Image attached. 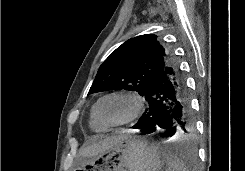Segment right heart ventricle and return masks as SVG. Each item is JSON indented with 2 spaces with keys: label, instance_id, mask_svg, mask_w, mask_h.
I'll list each match as a JSON object with an SVG mask.
<instances>
[{
  "label": "right heart ventricle",
  "instance_id": "e07e8e85",
  "mask_svg": "<svg viewBox=\"0 0 245 171\" xmlns=\"http://www.w3.org/2000/svg\"><path fill=\"white\" fill-rule=\"evenodd\" d=\"M93 109H94V107H93ZM93 109H92L91 114H90V126L96 132H103L106 130V127H104L101 123H99L96 120L94 113H93Z\"/></svg>",
  "mask_w": 245,
  "mask_h": 171
}]
</instances>
